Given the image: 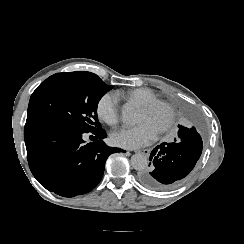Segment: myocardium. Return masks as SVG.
<instances>
[{"label": "myocardium", "instance_id": "myocardium-1", "mask_svg": "<svg viewBox=\"0 0 244 244\" xmlns=\"http://www.w3.org/2000/svg\"><path fill=\"white\" fill-rule=\"evenodd\" d=\"M140 107L146 111L154 110V109H157L159 107H165V110L169 114L170 122H169L168 126L163 130L162 133H166L172 128L173 121L175 120V115L173 113V110L169 107V104L167 102L162 103V102L157 101V102L143 104Z\"/></svg>", "mask_w": 244, "mask_h": 244}]
</instances>
